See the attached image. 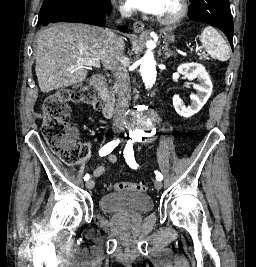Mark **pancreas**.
Returning a JSON list of instances; mask_svg holds the SVG:
<instances>
[{"label": "pancreas", "mask_w": 256, "mask_h": 267, "mask_svg": "<svg viewBox=\"0 0 256 267\" xmlns=\"http://www.w3.org/2000/svg\"><path fill=\"white\" fill-rule=\"evenodd\" d=\"M200 60H208V58H206L205 54H201Z\"/></svg>", "instance_id": "1"}]
</instances>
